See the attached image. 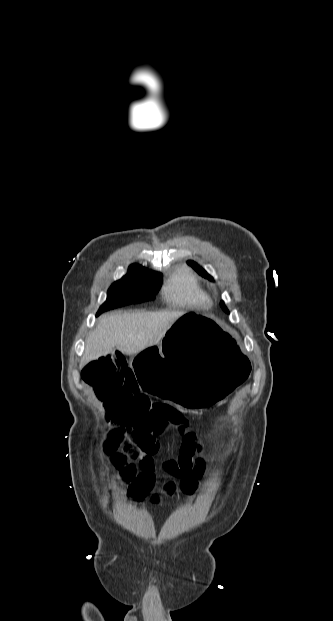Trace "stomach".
Segmentation results:
<instances>
[{"label": "stomach", "instance_id": "1", "mask_svg": "<svg viewBox=\"0 0 333 621\" xmlns=\"http://www.w3.org/2000/svg\"><path fill=\"white\" fill-rule=\"evenodd\" d=\"M143 349L132 368L144 394L167 397L179 411L215 412L251 373L248 350L206 313L181 316L159 343L148 341Z\"/></svg>", "mask_w": 333, "mask_h": 621}]
</instances>
